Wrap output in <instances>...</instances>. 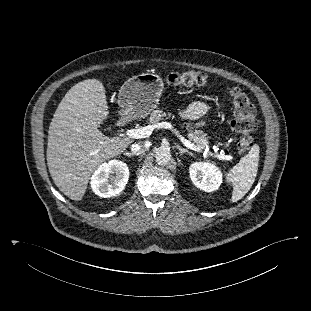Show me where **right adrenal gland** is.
Segmentation results:
<instances>
[{"instance_id": "1", "label": "right adrenal gland", "mask_w": 311, "mask_h": 311, "mask_svg": "<svg viewBox=\"0 0 311 311\" xmlns=\"http://www.w3.org/2000/svg\"><path fill=\"white\" fill-rule=\"evenodd\" d=\"M124 155H126V156H128V157H132V156H134V154L129 153V152H125V153H124Z\"/></svg>"}]
</instances>
